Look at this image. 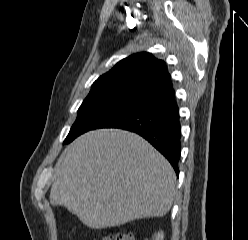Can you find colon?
I'll return each instance as SVG.
<instances>
[{"label": "colon", "instance_id": "obj_1", "mask_svg": "<svg viewBox=\"0 0 248 240\" xmlns=\"http://www.w3.org/2000/svg\"><path fill=\"white\" fill-rule=\"evenodd\" d=\"M102 240H134L133 236L126 232L117 231L106 235Z\"/></svg>", "mask_w": 248, "mask_h": 240}]
</instances>
